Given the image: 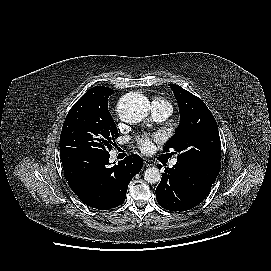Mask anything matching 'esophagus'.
<instances>
[{"instance_id": "1", "label": "esophagus", "mask_w": 271, "mask_h": 271, "mask_svg": "<svg viewBox=\"0 0 271 271\" xmlns=\"http://www.w3.org/2000/svg\"><path fill=\"white\" fill-rule=\"evenodd\" d=\"M143 162L147 167H150V166L154 165V163L151 160L146 159V158L143 159Z\"/></svg>"}]
</instances>
